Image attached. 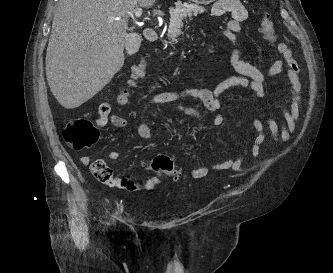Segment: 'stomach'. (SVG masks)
Returning a JSON list of instances; mask_svg holds the SVG:
<instances>
[{
	"mask_svg": "<svg viewBox=\"0 0 333 273\" xmlns=\"http://www.w3.org/2000/svg\"><path fill=\"white\" fill-rule=\"evenodd\" d=\"M214 1L215 0H192V2H194L196 4H200V5H208Z\"/></svg>",
	"mask_w": 333,
	"mask_h": 273,
	"instance_id": "1",
	"label": "stomach"
}]
</instances>
